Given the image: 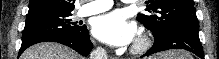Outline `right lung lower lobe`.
<instances>
[{
    "instance_id": "right-lung-lower-lobe-1",
    "label": "right lung lower lobe",
    "mask_w": 219,
    "mask_h": 59,
    "mask_svg": "<svg viewBox=\"0 0 219 59\" xmlns=\"http://www.w3.org/2000/svg\"><path fill=\"white\" fill-rule=\"evenodd\" d=\"M48 41L66 45L84 56H87L93 47V44L91 43L90 37L88 35V30L85 29V31L81 35H71L65 33L48 34L22 41L19 55L31 45Z\"/></svg>"
}]
</instances>
